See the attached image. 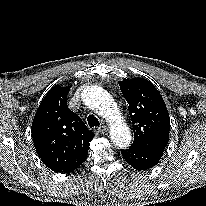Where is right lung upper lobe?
I'll return each instance as SVG.
<instances>
[{"instance_id": "obj_1", "label": "right lung upper lobe", "mask_w": 206, "mask_h": 206, "mask_svg": "<svg viewBox=\"0 0 206 206\" xmlns=\"http://www.w3.org/2000/svg\"><path fill=\"white\" fill-rule=\"evenodd\" d=\"M71 86H53L34 116L32 138L43 163L55 172L75 170L87 157L94 133L67 106Z\"/></svg>"}]
</instances>
